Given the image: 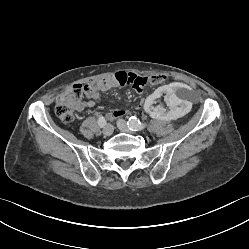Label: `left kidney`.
<instances>
[{"label": "left kidney", "mask_w": 249, "mask_h": 249, "mask_svg": "<svg viewBox=\"0 0 249 249\" xmlns=\"http://www.w3.org/2000/svg\"><path fill=\"white\" fill-rule=\"evenodd\" d=\"M195 98L194 91L182 83L162 85L142 102V111L155 119L174 122L189 114Z\"/></svg>", "instance_id": "1"}]
</instances>
